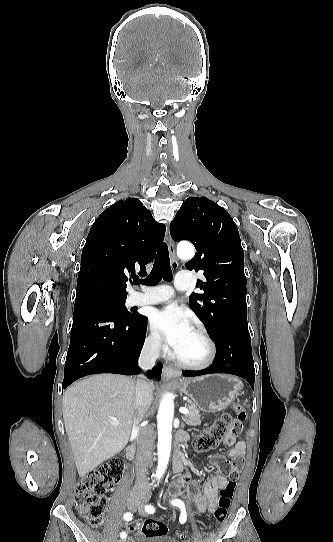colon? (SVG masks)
Masks as SVG:
<instances>
[{"label":"colon","mask_w":333,"mask_h":542,"mask_svg":"<svg viewBox=\"0 0 333 542\" xmlns=\"http://www.w3.org/2000/svg\"><path fill=\"white\" fill-rule=\"evenodd\" d=\"M245 420L246 413L240 406L236 408L235 416L230 413L222 414L207 430L195 437L194 449L204 452L217 446L225 438H238L242 433V423ZM243 466L244 458L242 455H235L231 460L221 459L220 468L228 475L230 480L220 490L217 506L213 511V517L219 522L226 519ZM120 470L121 464L119 461L112 460L97 472L84 476L76 487L75 507L79 514L91 525L98 526L101 524L106 508L104 493L118 482ZM139 527L146 538H161L165 537L167 533L166 525L157 519H146Z\"/></svg>","instance_id":"1"}]
</instances>
